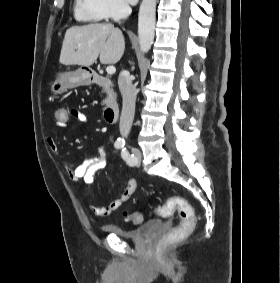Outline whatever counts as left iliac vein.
Wrapping results in <instances>:
<instances>
[{
  "instance_id": "obj_1",
  "label": "left iliac vein",
  "mask_w": 280,
  "mask_h": 283,
  "mask_svg": "<svg viewBox=\"0 0 280 283\" xmlns=\"http://www.w3.org/2000/svg\"><path fill=\"white\" fill-rule=\"evenodd\" d=\"M132 152H133V155L135 157V163L134 164L139 165L140 162H141V152H140V150L135 148V149H133Z\"/></svg>"
}]
</instances>
